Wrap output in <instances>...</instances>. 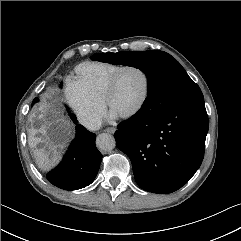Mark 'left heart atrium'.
<instances>
[{"label": "left heart atrium", "mask_w": 241, "mask_h": 241, "mask_svg": "<svg viewBox=\"0 0 241 241\" xmlns=\"http://www.w3.org/2000/svg\"><path fill=\"white\" fill-rule=\"evenodd\" d=\"M118 116L119 115L115 111L110 110V112H109L110 119H116Z\"/></svg>", "instance_id": "obj_1"}]
</instances>
